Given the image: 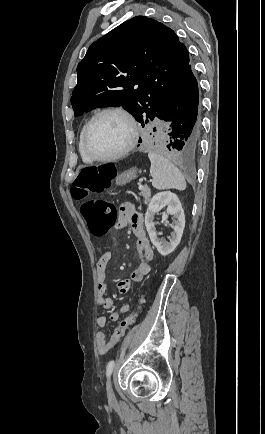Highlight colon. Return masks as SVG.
Returning a JSON list of instances; mask_svg holds the SVG:
<instances>
[{"mask_svg": "<svg viewBox=\"0 0 265 434\" xmlns=\"http://www.w3.org/2000/svg\"><path fill=\"white\" fill-rule=\"evenodd\" d=\"M113 171V164H85L84 168H79L76 180H73L70 186V191L71 193H92L93 189H102L103 181H113ZM80 213L91 234L98 237L106 235L118 219L115 205L103 198H92L81 203ZM136 317L137 313L127 315L120 323L108 344L110 351L113 343H118L123 337L128 326L134 324ZM107 354L103 353L101 356Z\"/></svg>", "mask_w": 265, "mask_h": 434, "instance_id": "1", "label": "colon"}]
</instances>
